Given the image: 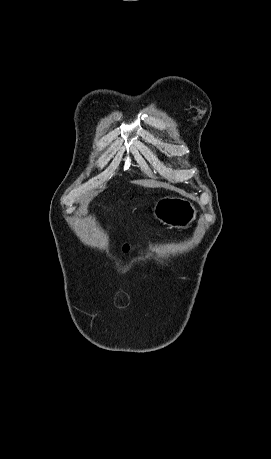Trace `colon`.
<instances>
[{"mask_svg": "<svg viewBox=\"0 0 271 459\" xmlns=\"http://www.w3.org/2000/svg\"><path fill=\"white\" fill-rule=\"evenodd\" d=\"M129 250V246L128 245H125L124 246V251H128Z\"/></svg>", "mask_w": 271, "mask_h": 459, "instance_id": "1", "label": "colon"}]
</instances>
